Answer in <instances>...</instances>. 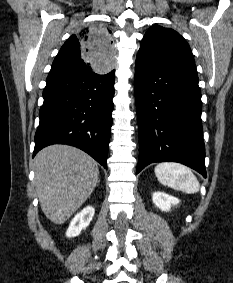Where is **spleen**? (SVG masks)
Instances as JSON below:
<instances>
[{"label":"spleen","mask_w":233,"mask_h":283,"mask_svg":"<svg viewBox=\"0 0 233 283\" xmlns=\"http://www.w3.org/2000/svg\"><path fill=\"white\" fill-rule=\"evenodd\" d=\"M154 172L158 181L170 188L187 194L197 193L200 189L199 181L189 168L178 163H160Z\"/></svg>","instance_id":"spleen-1"}]
</instances>
